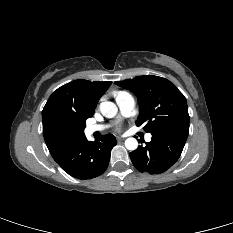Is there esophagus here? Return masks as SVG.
<instances>
[{
	"label": "esophagus",
	"instance_id": "esophagus-1",
	"mask_svg": "<svg viewBox=\"0 0 233 233\" xmlns=\"http://www.w3.org/2000/svg\"><path fill=\"white\" fill-rule=\"evenodd\" d=\"M124 140V138H117V141H123Z\"/></svg>",
	"mask_w": 233,
	"mask_h": 233
}]
</instances>
